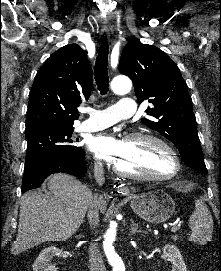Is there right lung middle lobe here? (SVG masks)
<instances>
[{
	"label": "right lung middle lobe",
	"instance_id": "dd1d6c3e",
	"mask_svg": "<svg viewBox=\"0 0 221 271\" xmlns=\"http://www.w3.org/2000/svg\"><path fill=\"white\" fill-rule=\"evenodd\" d=\"M73 126L46 125L26 131L25 163L50 157L70 156L82 148L71 139Z\"/></svg>",
	"mask_w": 221,
	"mask_h": 271
}]
</instances>
